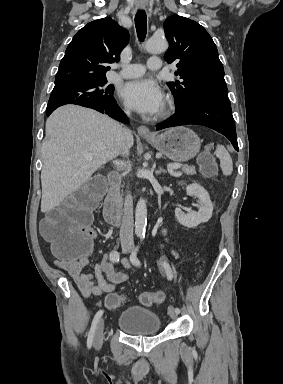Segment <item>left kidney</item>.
Returning <instances> with one entry per match:
<instances>
[{"label": "left kidney", "mask_w": 283, "mask_h": 384, "mask_svg": "<svg viewBox=\"0 0 283 384\" xmlns=\"http://www.w3.org/2000/svg\"><path fill=\"white\" fill-rule=\"evenodd\" d=\"M186 192L187 196H196V198H198L199 204H193V206H197L199 210L198 212L184 214L180 208H176L175 216L182 226H186V228H196L199 224L208 222V220L212 218V202L207 190H205L203 186H199V184H190V186H186Z\"/></svg>", "instance_id": "1"}]
</instances>
